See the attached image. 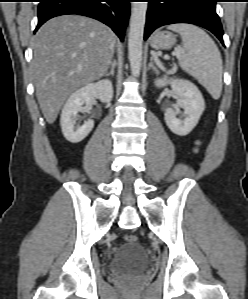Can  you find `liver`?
Returning a JSON list of instances; mask_svg holds the SVG:
<instances>
[{"instance_id": "6515ba94", "label": "liver", "mask_w": 248, "mask_h": 299, "mask_svg": "<svg viewBox=\"0 0 248 299\" xmlns=\"http://www.w3.org/2000/svg\"><path fill=\"white\" fill-rule=\"evenodd\" d=\"M114 44L109 27L80 15L55 17L38 30L31 70L36 97L49 124L73 91L106 74Z\"/></svg>"}]
</instances>
